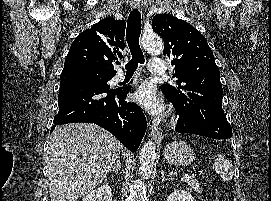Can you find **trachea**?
<instances>
[{"mask_svg": "<svg viewBox=\"0 0 271 201\" xmlns=\"http://www.w3.org/2000/svg\"><path fill=\"white\" fill-rule=\"evenodd\" d=\"M141 14L139 10L133 9L128 17L126 38L132 55L131 60L125 65L127 74H133L138 64H144L145 59L139 45V37L141 34Z\"/></svg>", "mask_w": 271, "mask_h": 201, "instance_id": "1", "label": "trachea"}]
</instances>
